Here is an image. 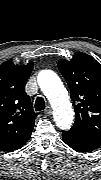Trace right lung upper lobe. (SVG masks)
Listing matches in <instances>:
<instances>
[{"label": "right lung upper lobe", "mask_w": 101, "mask_h": 180, "mask_svg": "<svg viewBox=\"0 0 101 180\" xmlns=\"http://www.w3.org/2000/svg\"><path fill=\"white\" fill-rule=\"evenodd\" d=\"M33 63L17 67L6 61L0 65V148L13 151L30 138L34 113L25 84L32 72Z\"/></svg>", "instance_id": "cb5924a9"}]
</instances>
